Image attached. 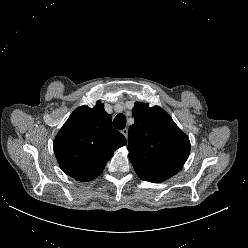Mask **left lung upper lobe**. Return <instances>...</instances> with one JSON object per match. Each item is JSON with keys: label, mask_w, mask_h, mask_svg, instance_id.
Returning a JSON list of instances; mask_svg holds the SVG:
<instances>
[{"label": "left lung upper lobe", "mask_w": 248, "mask_h": 248, "mask_svg": "<svg viewBox=\"0 0 248 248\" xmlns=\"http://www.w3.org/2000/svg\"><path fill=\"white\" fill-rule=\"evenodd\" d=\"M129 127L128 151L137 175L152 183L178 173L190 153V141L170 115L158 106L136 102Z\"/></svg>", "instance_id": "left-lung-upper-lobe-1"}]
</instances>
